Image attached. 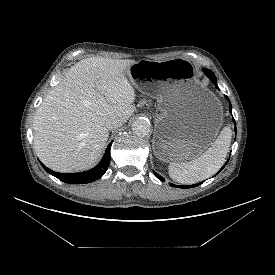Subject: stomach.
<instances>
[{"label":"stomach","instance_id":"stomach-1","mask_svg":"<svg viewBox=\"0 0 275 275\" xmlns=\"http://www.w3.org/2000/svg\"><path fill=\"white\" fill-rule=\"evenodd\" d=\"M126 73L137 89L153 91L158 98L161 113L155 119L153 149L159 160H193L212 145L222 124V106L196 80L191 62L144 59L130 65Z\"/></svg>","mask_w":275,"mask_h":275}]
</instances>
